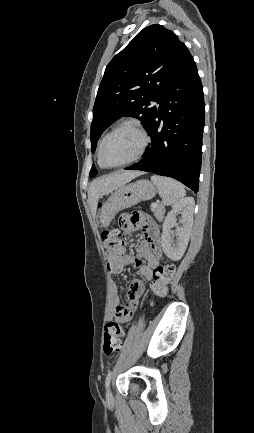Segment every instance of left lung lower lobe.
<instances>
[{
	"mask_svg": "<svg viewBox=\"0 0 254 433\" xmlns=\"http://www.w3.org/2000/svg\"><path fill=\"white\" fill-rule=\"evenodd\" d=\"M147 132L144 158L126 168L172 177L197 193L205 125L203 87L189 53L165 89Z\"/></svg>",
	"mask_w": 254,
	"mask_h": 433,
	"instance_id": "left-lung-lower-lobe-1",
	"label": "left lung lower lobe"
}]
</instances>
